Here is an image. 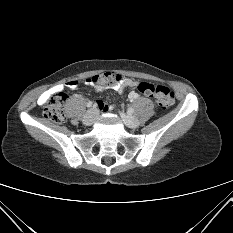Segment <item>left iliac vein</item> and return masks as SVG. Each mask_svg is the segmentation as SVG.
I'll return each instance as SVG.
<instances>
[{
  "mask_svg": "<svg viewBox=\"0 0 233 233\" xmlns=\"http://www.w3.org/2000/svg\"><path fill=\"white\" fill-rule=\"evenodd\" d=\"M121 117L124 121V123L129 127V128H137L139 126V120L132 116V115H128L125 113H121Z\"/></svg>",
  "mask_w": 233,
  "mask_h": 233,
  "instance_id": "left-iliac-vein-1",
  "label": "left iliac vein"
}]
</instances>
